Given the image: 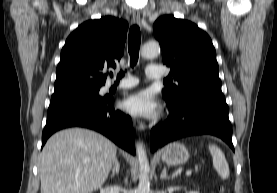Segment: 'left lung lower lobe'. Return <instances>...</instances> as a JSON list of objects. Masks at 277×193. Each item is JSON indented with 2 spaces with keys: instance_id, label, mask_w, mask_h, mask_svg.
<instances>
[{
  "instance_id": "0a47b994",
  "label": "left lung lower lobe",
  "mask_w": 277,
  "mask_h": 193,
  "mask_svg": "<svg viewBox=\"0 0 277 193\" xmlns=\"http://www.w3.org/2000/svg\"><path fill=\"white\" fill-rule=\"evenodd\" d=\"M168 106L171 114L167 120L151 130V151L179 138L201 134L221 138L234 151L228 105L221 89H199L187 94L180 104Z\"/></svg>"
}]
</instances>
